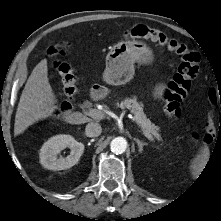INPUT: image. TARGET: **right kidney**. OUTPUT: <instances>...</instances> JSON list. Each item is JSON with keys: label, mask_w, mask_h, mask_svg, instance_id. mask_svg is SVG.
Masks as SVG:
<instances>
[{"label": "right kidney", "mask_w": 221, "mask_h": 221, "mask_svg": "<svg viewBox=\"0 0 221 221\" xmlns=\"http://www.w3.org/2000/svg\"><path fill=\"white\" fill-rule=\"evenodd\" d=\"M65 148H70V154L63 158L58 154ZM84 152V144L77 142L70 135H56L45 142L40 149V163L49 170H64L78 163Z\"/></svg>", "instance_id": "right-kidney-1"}]
</instances>
